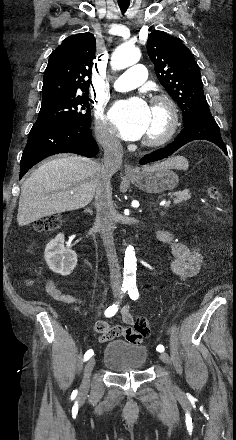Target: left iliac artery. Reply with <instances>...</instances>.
Instances as JSON below:
<instances>
[{"label": "left iliac artery", "mask_w": 236, "mask_h": 440, "mask_svg": "<svg viewBox=\"0 0 236 440\" xmlns=\"http://www.w3.org/2000/svg\"><path fill=\"white\" fill-rule=\"evenodd\" d=\"M128 294H129V297L132 300H134V301L137 300L139 298V292H138L137 286L136 285H130L129 288H128ZM164 350H165V348H164L163 345H158L157 346V351L163 352Z\"/></svg>", "instance_id": "obj_1"}]
</instances>
